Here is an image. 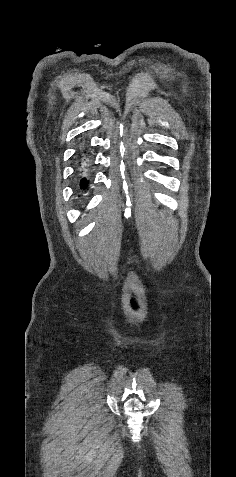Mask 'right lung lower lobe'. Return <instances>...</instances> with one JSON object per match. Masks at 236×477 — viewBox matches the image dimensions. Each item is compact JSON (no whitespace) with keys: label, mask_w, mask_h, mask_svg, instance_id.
<instances>
[{"label":"right lung lower lobe","mask_w":236,"mask_h":477,"mask_svg":"<svg viewBox=\"0 0 236 477\" xmlns=\"http://www.w3.org/2000/svg\"><path fill=\"white\" fill-rule=\"evenodd\" d=\"M79 169L82 174L84 168L87 166V156L85 155V151L79 155ZM78 186L81 188V190H85L88 185V177L82 174L78 180H77Z\"/></svg>","instance_id":"obj_1"}]
</instances>
